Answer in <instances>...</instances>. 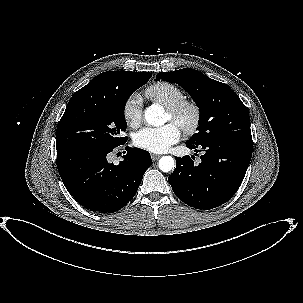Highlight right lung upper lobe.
<instances>
[{
    "instance_id": "right-lung-upper-lobe-1",
    "label": "right lung upper lobe",
    "mask_w": 303,
    "mask_h": 303,
    "mask_svg": "<svg viewBox=\"0 0 303 303\" xmlns=\"http://www.w3.org/2000/svg\"><path fill=\"white\" fill-rule=\"evenodd\" d=\"M142 75H149L152 77L151 73H144V72L139 73V72H130V71H107L96 76L93 80H91V82H89L82 89L104 90L115 86L118 87L124 81Z\"/></svg>"
}]
</instances>
